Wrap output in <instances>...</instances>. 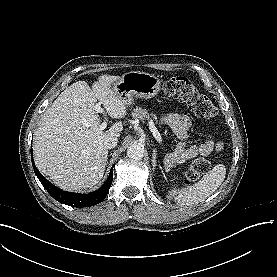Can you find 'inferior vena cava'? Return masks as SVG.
Here are the masks:
<instances>
[{
    "instance_id": "1",
    "label": "inferior vena cava",
    "mask_w": 277,
    "mask_h": 277,
    "mask_svg": "<svg viewBox=\"0 0 277 277\" xmlns=\"http://www.w3.org/2000/svg\"><path fill=\"white\" fill-rule=\"evenodd\" d=\"M118 143V138L117 137H114V136H111V137H108L105 142H104V147L106 149H112L114 148Z\"/></svg>"
}]
</instances>
